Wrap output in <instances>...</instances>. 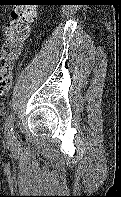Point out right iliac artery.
I'll list each match as a JSON object with an SVG mask.
<instances>
[{
    "mask_svg": "<svg viewBox=\"0 0 121 197\" xmlns=\"http://www.w3.org/2000/svg\"><path fill=\"white\" fill-rule=\"evenodd\" d=\"M5 135L9 143L12 142L14 139V132H13V116L10 115L5 123Z\"/></svg>",
    "mask_w": 121,
    "mask_h": 197,
    "instance_id": "82829eb1",
    "label": "right iliac artery"
}]
</instances>
